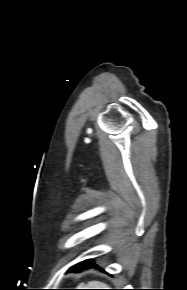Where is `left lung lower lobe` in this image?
Wrapping results in <instances>:
<instances>
[{
	"label": "left lung lower lobe",
	"mask_w": 187,
	"mask_h": 290,
	"mask_svg": "<svg viewBox=\"0 0 187 290\" xmlns=\"http://www.w3.org/2000/svg\"><path fill=\"white\" fill-rule=\"evenodd\" d=\"M92 265H95L94 264V261L93 260H89L88 262L84 263V265H82L80 268H78L76 271H81L82 268H89V267H92ZM96 266V265H95ZM98 268V267H97ZM72 269V268H71ZM73 270V269H72ZM75 271V270H74Z\"/></svg>",
	"instance_id": "obj_1"
}]
</instances>
